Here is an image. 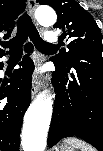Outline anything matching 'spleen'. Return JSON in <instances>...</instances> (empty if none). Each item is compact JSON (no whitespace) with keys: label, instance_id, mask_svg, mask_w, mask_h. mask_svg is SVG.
<instances>
[{"label":"spleen","instance_id":"3e777b00","mask_svg":"<svg viewBox=\"0 0 103 151\" xmlns=\"http://www.w3.org/2000/svg\"><path fill=\"white\" fill-rule=\"evenodd\" d=\"M65 143L70 144L74 148L80 149V151H95L94 148L78 138H68L65 140Z\"/></svg>","mask_w":103,"mask_h":151}]
</instances>
